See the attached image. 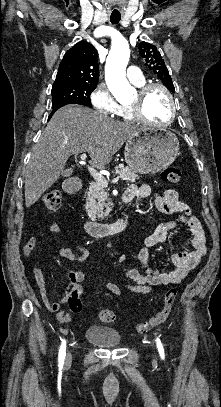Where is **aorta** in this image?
<instances>
[{
  "mask_svg": "<svg viewBox=\"0 0 221 407\" xmlns=\"http://www.w3.org/2000/svg\"><path fill=\"white\" fill-rule=\"evenodd\" d=\"M130 57L128 44H114L109 52L105 65V80L109 90L118 101L129 100L135 89L126 78V67Z\"/></svg>",
  "mask_w": 221,
  "mask_h": 407,
  "instance_id": "obj_1",
  "label": "aorta"
}]
</instances>
